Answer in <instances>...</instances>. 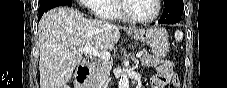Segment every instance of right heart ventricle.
Masks as SVG:
<instances>
[{"mask_svg": "<svg viewBox=\"0 0 227 88\" xmlns=\"http://www.w3.org/2000/svg\"><path fill=\"white\" fill-rule=\"evenodd\" d=\"M118 2L119 0H96L92 5V9L99 18L122 19L118 11Z\"/></svg>", "mask_w": 227, "mask_h": 88, "instance_id": "e07e8e85", "label": "right heart ventricle"}]
</instances>
